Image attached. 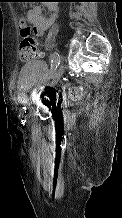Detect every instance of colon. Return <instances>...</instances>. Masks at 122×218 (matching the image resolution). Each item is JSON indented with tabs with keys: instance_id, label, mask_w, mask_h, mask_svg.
I'll return each instance as SVG.
<instances>
[{
	"instance_id": "5ec220e1",
	"label": "colon",
	"mask_w": 122,
	"mask_h": 218,
	"mask_svg": "<svg viewBox=\"0 0 122 218\" xmlns=\"http://www.w3.org/2000/svg\"><path fill=\"white\" fill-rule=\"evenodd\" d=\"M21 42L19 46V58L28 61L38 57V44L31 34V28L27 23L20 25ZM82 88H72L68 91L71 100H79L85 96Z\"/></svg>"
}]
</instances>
